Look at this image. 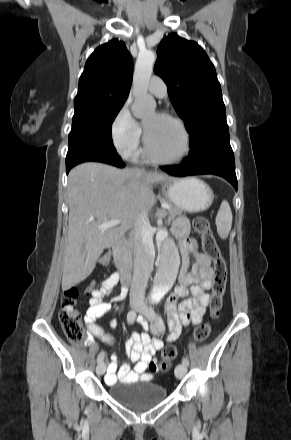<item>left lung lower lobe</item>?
<instances>
[{"label": "left lung lower lobe", "instance_id": "left-lung-lower-lobe-1", "mask_svg": "<svg viewBox=\"0 0 291 440\" xmlns=\"http://www.w3.org/2000/svg\"><path fill=\"white\" fill-rule=\"evenodd\" d=\"M172 176L214 174L225 178L237 190L235 160L230 146L229 132L218 134L195 151L181 165L161 166Z\"/></svg>", "mask_w": 291, "mask_h": 440}]
</instances>
